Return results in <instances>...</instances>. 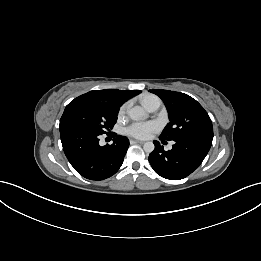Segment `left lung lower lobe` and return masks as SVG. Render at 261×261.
Instances as JSON below:
<instances>
[{"mask_svg": "<svg viewBox=\"0 0 261 261\" xmlns=\"http://www.w3.org/2000/svg\"><path fill=\"white\" fill-rule=\"evenodd\" d=\"M160 140H164L160 138ZM173 148L165 151L158 141L149 155L154 171L163 178L180 180L196 170L206 157L212 145L211 140L183 138L174 140Z\"/></svg>", "mask_w": 261, "mask_h": 261, "instance_id": "obj_1", "label": "left lung lower lobe"}]
</instances>
